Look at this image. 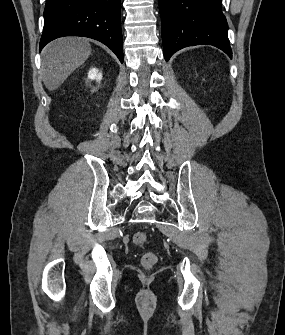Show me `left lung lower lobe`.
I'll list each match as a JSON object with an SVG mask.
<instances>
[{
    "label": "left lung lower lobe",
    "instance_id": "0a47b994",
    "mask_svg": "<svg viewBox=\"0 0 285 335\" xmlns=\"http://www.w3.org/2000/svg\"><path fill=\"white\" fill-rule=\"evenodd\" d=\"M159 6L166 61L178 50L200 44L213 45L232 58L221 0H159Z\"/></svg>",
    "mask_w": 285,
    "mask_h": 335
}]
</instances>
